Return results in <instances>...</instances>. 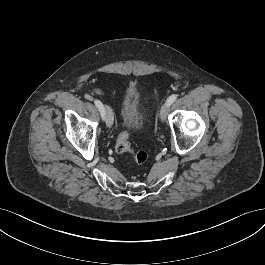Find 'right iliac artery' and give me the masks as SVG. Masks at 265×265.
I'll return each mask as SVG.
<instances>
[{"label":"right iliac artery","instance_id":"82829eb1","mask_svg":"<svg viewBox=\"0 0 265 265\" xmlns=\"http://www.w3.org/2000/svg\"><path fill=\"white\" fill-rule=\"evenodd\" d=\"M94 103H95L96 107L99 109L101 116L104 117V106L101 103V101L95 100Z\"/></svg>","mask_w":265,"mask_h":265}]
</instances>
